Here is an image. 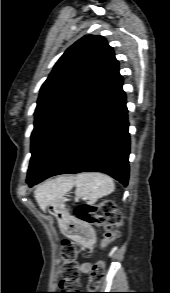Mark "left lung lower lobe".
<instances>
[{
  "mask_svg": "<svg viewBox=\"0 0 170 293\" xmlns=\"http://www.w3.org/2000/svg\"><path fill=\"white\" fill-rule=\"evenodd\" d=\"M122 83L121 77L42 173L27 177L31 187L54 175L87 171L106 173L128 184L130 135Z\"/></svg>",
  "mask_w": 170,
  "mask_h": 293,
  "instance_id": "left-lung-lower-lobe-1",
  "label": "left lung lower lobe"
}]
</instances>
